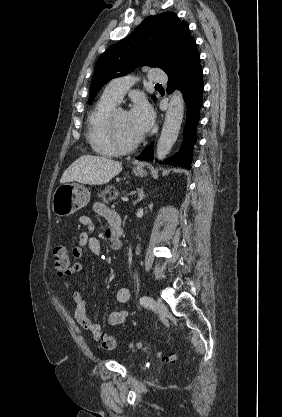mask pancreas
I'll list each match as a JSON object with an SVG mask.
<instances>
[{
	"mask_svg": "<svg viewBox=\"0 0 282 417\" xmlns=\"http://www.w3.org/2000/svg\"><path fill=\"white\" fill-rule=\"evenodd\" d=\"M106 194H109V196H106ZM118 194L119 190H117L114 184H111V186H106L104 190H101V192H99L100 198H102L103 202H106V204H108L109 200H115Z\"/></svg>",
	"mask_w": 282,
	"mask_h": 417,
	"instance_id": "pancreas-1",
	"label": "pancreas"
}]
</instances>
